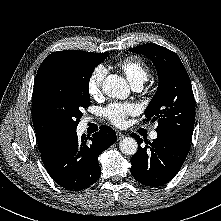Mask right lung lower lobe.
<instances>
[{"instance_id": "obj_1", "label": "right lung lower lobe", "mask_w": 221, "mask_h": 221, "mask_svg": "<svg viewBox=\"0 0 221 221\" xmlns=\"http://www.w3.org/2000/svg\"><path fill=\"white\" fill-rule=\"evenodd\" d=\"M116 140V132L102 125L92 137L78 138L76 129L59 135L46 149L40 151L51 178L61 187L78 191L88 188L100 177L97 158Z\"/></svg>"}]
</instances>
